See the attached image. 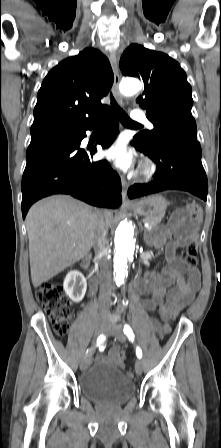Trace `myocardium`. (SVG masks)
<instances>
[{"mask_svg": "<svg viewBox=\"0 0 221 448\" xmlns=\"http://www.w3.org/2000/svg\"><path fill=\"white\" fill-rule=\"evenodd\" d=\"M155 173H156L155 163L147 159L139 172V177L143 180H149L155 175Z\"/></svg>", "mask_w": 221, "mask_h": 448, "instance_id": "obj_1", "label": "myocardium"}]
</instances>
